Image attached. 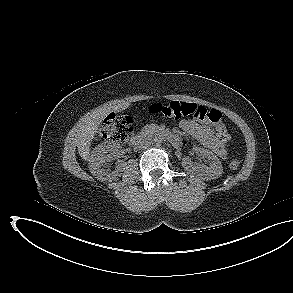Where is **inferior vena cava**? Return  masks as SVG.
Returning a JSON list of instances; mask_svg holds the SVG:
<instances>
[{"label": "inferior vena cava", "mask_w": 293, "mask_h": 293, "mask_svg": "<svg viewBox=\"0 0 293 293\" xmlns=\"http://www.w3.org/2000/svg\"><path fill=\"white\" fill-rule=\"evenodd\" d=\"M152 143V140L148 137H138L136 140L135 149L142 150L148 148Z\"/></svg>", "instance_id": "obj_1"}]
</instances>
